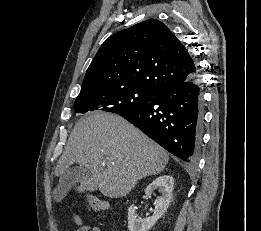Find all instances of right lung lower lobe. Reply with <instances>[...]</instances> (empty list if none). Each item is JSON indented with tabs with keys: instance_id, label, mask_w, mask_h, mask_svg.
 Returning <instances> with one entry per match:
<instances>
[{
	"instance_id": "right-lung-lower-lobe-1",
	"label": "right lung lower lobe",
	"mask_w": 261,
	"mask_h": 231,
	"mask_svg": "<svg viewBox=\"0 0 261 231\" xmlns=\"http://www.w3.org/2000/svg\"><path fill=\"white\" fill-rule=\"evenodd\" d=\"M202 103L200 81L195 74L159 91L144 106L120 116L173 155L195 163L201 143Z\"/></svg>"
}]
</instances>
